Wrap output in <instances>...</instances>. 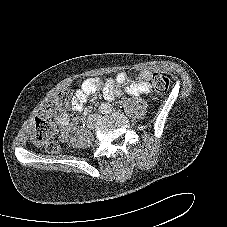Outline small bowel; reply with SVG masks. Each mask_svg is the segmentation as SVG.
<instances>
[{"label":"small bowel","mask_w":227,"mask_h":227,"mask_svg":"<svg viewBox=\"0 0 227 227\" xmlns=\"http://www.w3.org/2000/svg\"><path fill=\"white\" fill-rule=\"evenodd\" d=\"M151 72L142 70L136 80L130 81L127 73L119 72L114 77H109L105 81H101L97 77L85 79L80 87L75 91L72 100L71 108L76 112H81L84 108V102L87 97L98 90H101L105 99L113 100L118 97L122 91L128 95L138 96L150 92L149 79ZM126 84L121 89L119 86ZM77 121V119H75ZM56 124L59 129V139L62 142L67 141L71 134V119L68 113L62 112L56 116Z\"/></svg>","instance_id":"small-bowel-1"}]
</instances>
